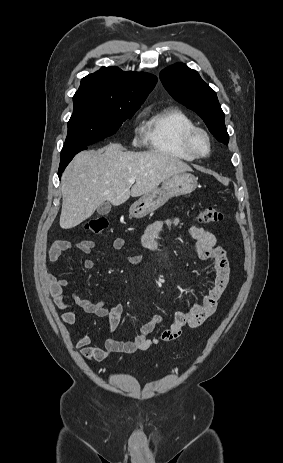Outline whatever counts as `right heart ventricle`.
I'll use <instances>...</instances> for the list:
<instances>
[{"instance_id":"obj_1","label":"right heart ventricle","mask_w":283,"mask_h":463,"mask_svg":"<svg viewBox=\"0 0 283 463\" xmlns=\"http://www.w3.org/2000/svg\"><path fill=\"white\" fill-rule=\"evenodd\" d=\"M195 127L190 116L178 107H165L152 113L144 125V139L155 153L191 161L194 155L185 146V135Z\"/></svg>"}]
</instances>
